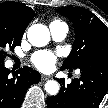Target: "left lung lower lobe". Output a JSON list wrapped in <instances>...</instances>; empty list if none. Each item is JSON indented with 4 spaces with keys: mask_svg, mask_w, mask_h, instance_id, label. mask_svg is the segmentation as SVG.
I'll use <instances>...</instances> for the list:
<instances>
[{
    "mask_svg": "<svg viewBox=\"0 0 108 108\" xmlns=\"http://www.w3.org/2000/svg\"><path fill=\"white\" fill-rule=\"evenodd\" d=\"M81 77L65 84L60 79V92L47 99L48 108H98L108 92V60L98 67L80 68Z\"/></svg>",
    "mask_w": 108,
    "mask_h": 108,
    "instance_id": "obj_1",
    "label": "left lung lower lobe"
}]
</instances>
